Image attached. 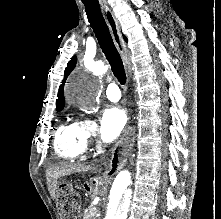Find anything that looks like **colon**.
I'll return each mask as SVG.
<instances>
[{"label":"colon","mask_w":221,"mask_h":219,"mask_svg":"<svg viewBox=\"0 0 221 219\" xmlns=\"http://www.w3.org/2000/svg\"><path fill=\"white\" fill-rule=\"evenodd\" d=\"M63 202L65 203V207L69 212H72L74 208L77 206L79 201V195L77 192L70 188H63Z\"/></svg>","instance_id":"colon-1"}]
</instances>
